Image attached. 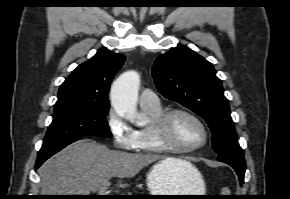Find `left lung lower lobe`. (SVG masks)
<instances>
[{"label":"left lung lower lobe","mask_w":290,"mask_h":199,"mask_svg":"<svg viewBox=\"0 0 290 199\" xmlns=\"http://www.w3.org/2000/svg\"><path fill=\"white\" fill-rule=\"evenodd\" d=\"M218 160L230 165L238 174L240 185L243 184L244 172H245V159L244 155H229L218 156Z\"/></svg>","instance_id":"obj_1"}]
</instances>
